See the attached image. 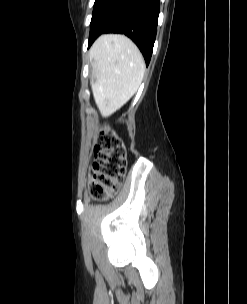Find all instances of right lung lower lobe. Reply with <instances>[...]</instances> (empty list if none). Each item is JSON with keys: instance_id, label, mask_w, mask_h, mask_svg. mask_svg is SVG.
I'll return each mask as SVG.
<instances>
[{"instance_id": "obj_1", "label": "right lung lower lobe", "mask_w": 247, "mask_h": 304, "mask_svg": "<svg viewBox=\"0 0 247 304\" xmlns=\"http://www.w3.org/2000/svg\"><path fill=\"white\" fill-rule=\"evenodd\" d=\"M160 0H96L88 47L102 33H122L131 38L148 65L156 37Z\"/></svg>"}]
</instances>
